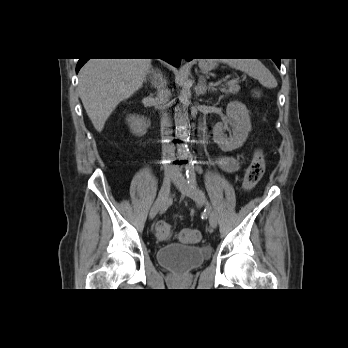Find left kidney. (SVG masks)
Returning <instances> with one entry per match:
<instances>
[{
    "label": "left kidney",
    "instance_id": "5707ae66",
    "mask_svg": "<svg viewBox=\"0 0 348 348\" xmlns=\"http://www.w3.org/2000/svg\"><path fill=\"white\" fill-rule=\"evenodd\" d=\"M226 114L228 120L213 127V140L222 151L230 152L243 146L251 131V121L248 109L239 101L230 102ZM228 125L232 127L229 137L224 134V131L229 129Z\"/></svg>",
    "mask_w": 348,
    "mask_h": 348
}]
</instances>
